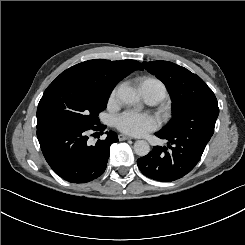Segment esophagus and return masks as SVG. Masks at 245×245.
Here are the masks:
<instances>
[{"mask_svg": "<svg viewBox=\"0 0 245 245\" xmlns=\"http://www.w3.org/2000/svg\"><path fill=\"white\" fill-rule=\"evenodd\" d=\"M118 138H119L120 141H124V140H129V139H131L130 136H127V135H125V134H119V135H118Z\"/></svg>", "mask_w": 245, "mask_h": 245, "instance_id": "34e87169", "label": "esophagus"}]
</instances>
